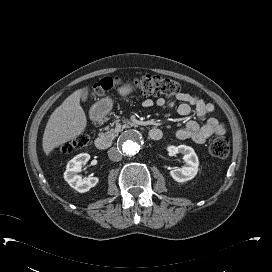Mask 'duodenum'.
I'll return each mask as SVG.
<instances>
[{"label":"duodenum","instance_id":"410a0bca","mask_svg":"<svg viewBox=\"0 0 272 272\" xmlns=\"http://www.w3.org/2000/svg\"><path fill=\"white\" fill-rule=\"evenodd\" d=\"M107 112V108L103 105H99L94 107L90 113L89 117L90 120L94 123H100L103 120L104 115ZM148 137L152 140H159L162 138V132L160 129L156 127H152L148 131ZM111 145V139L107 135H100L97 137L95 141V146L99 150H106L110 147Z\"/></svg>","mask_w":272,"mask_h":272}]
</instances>
